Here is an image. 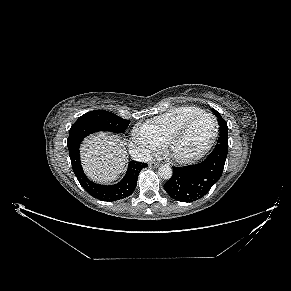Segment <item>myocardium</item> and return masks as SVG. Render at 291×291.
<instances>
[{
	"label": "myocardium",
	"mask_w": 291,
	"mask_h": 291,
	"mask_svg": "<svg viewBox=\"0 0 291 291\" xmlns=\"http://www.w3.org/2000/svg\"><path fill=\"white\" fill-rule=\"evenodd\" d=\"M204 116L211 117L214 121V124H215L214 132H213L211 139L206 144V146L204 148H202L199 152H197L193 155H189V156L179 155L175 150L177 143L182 139V137L185 135L187 130L190 128V126L196 120H198L199 118L204 117ZM218 133H219V123H218V120L215 117V115H213L212 113H209V112H202L200 114H197V115L191 117L182 126H180L166 141L165 149H166L167 153L172 157V159H174L176 162H178L180 164H190V163H193V162L201 159L210 151V149L213 147V145L218 137Z\"/></svg>",
	"instance_id": "1"
}]
</instances>
